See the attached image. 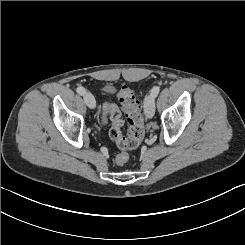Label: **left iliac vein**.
I'll return each instance as SVG.
<instances>
[{
  "mask_svg": "<svg viewBox=\"0 0 245 245\" xmlns=\"http://www.w3.org/2000/svg\"><path fill=\"white\" fill-rule=\"evenodd\" d=\"M144 113L146 118H152L155 113V97L149 94L145 98V108Z\"/></svg>",
  "mask_w": 245,
  "mask_h": 245,
  "instance_id": "left-iliac-vein-1",
  "label": "left iliac vein"
}]
</instances>
